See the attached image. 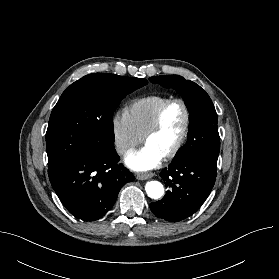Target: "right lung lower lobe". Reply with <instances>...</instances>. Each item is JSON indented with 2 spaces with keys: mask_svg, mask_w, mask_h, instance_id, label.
Masks as SVG:
<instances>
[{
  "mask_svg": "<svg viewBox=\"0 0 279 279\" xmlns=\"http://www.w3.org/2000/svg\"><path fill=\"white\" fill-rule=\"evenodd\" d=\"M118 161L114 147L98 155L84 153L50 179L60 201L74 217L86 222L102 218L123 185L135 179Z\"/></svg>",
  "mask_w": 279,
  "mask_h": 279,
  "instance_id": "1",
  "label": "right lung lower lobe"
}]
</instances>
